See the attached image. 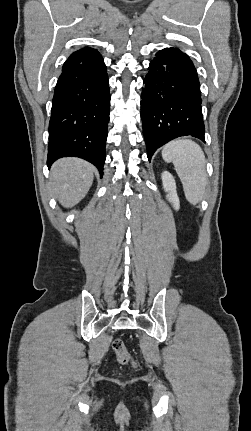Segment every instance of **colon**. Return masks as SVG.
Masks as SVG:
<instances>
[{"mask_svg":"<svg viewBox=\"0 0 251 431\" xmlns=\"http://www.w3.org/2000/svg\"><path fill=\"white\" fill-rule=\"evenodd\" d=\"M112 349L116 355V359L119 364L128 365L134 363L132 355L127 350V347L122 339H114L112 342Z\"/></svg>","mask_w":251,"mask_h":431,"instance_id":"1","label":"colon"}]
</instances>
